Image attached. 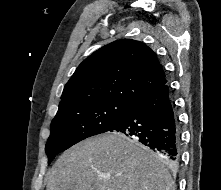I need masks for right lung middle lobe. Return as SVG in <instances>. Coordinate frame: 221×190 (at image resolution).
Here are the masks:
<instances>
[{
    "mask_svg": "<svg viewBox=\"0 0 221 190\" xmlns=\"http://www.w3.org/2000/svg\"><path fill=\"white\" fill-rule=\"evenodd\" d=\"M130 106L118 100H98L58 109L45 146L48 163L79 141L112 130Z\"/></svg>",
    "mask_w": 221,
    "mask_h": 190,
    "instance_id": "dd1d6c3e",
    "label": "right lung middle lobe"
}]
</instances>
